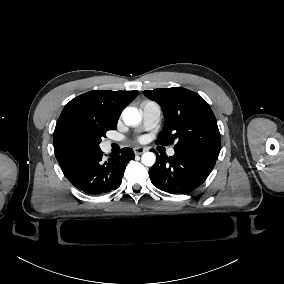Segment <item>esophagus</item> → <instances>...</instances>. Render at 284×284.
Instances as JSON below:
<instances>
[{
  "label": "esophagus",
  "instance_id": "esophagus-1",
  "mask_svg": "<svg viewBox=\"0 0 284 284\" xmlns=\"http://www.w3.org/2000/svg\"><path fill=\"white\" fill-rule=\"evenodd\" d=\"M133 151L136 155H141L143 154L146 150L143 147H134Z\"/></svg>",
  "mask_w": 284,
  "mask_h": 284
}]
</instances>
